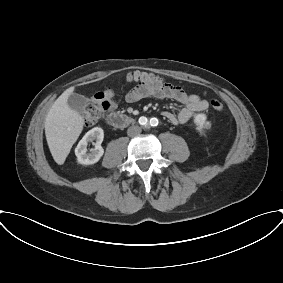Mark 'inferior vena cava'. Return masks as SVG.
<instances>
[{"label":"inferior vena cava","mask_w":283,"mask_h":283,"mask_svg":"<svg viewBox=\"0 0 283 283\" xmlns=\"http://www.w3.org/2000/svg\"><path fill=\"white\" fill-rule=\"evenodd\" d=\"M141 132V128L139 126H130L127 130L128 136H135Z\"/></svg>","instance_id":"obj_1"}]
</instances>
